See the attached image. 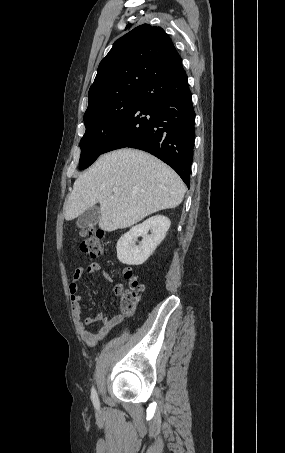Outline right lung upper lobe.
<instances>
[{
  "mask_svg": "<svg viewBox=\"0 0 285 453\" xmlns=\"http://www.w3.org/2000/svg\"><path fill=\"white\" fill-rule=\"evenodd\" d=\"M179 64L181 57L164 30L140 25L116 40L100 62L88 93L87 110L109 99L141 91L152 79Z\"/></svg>",
  "mask_w": 285,
  "mask_h": 453,
  "instance_id": "1",
  "label": "right lung upper lobe"
}]
</instances>
